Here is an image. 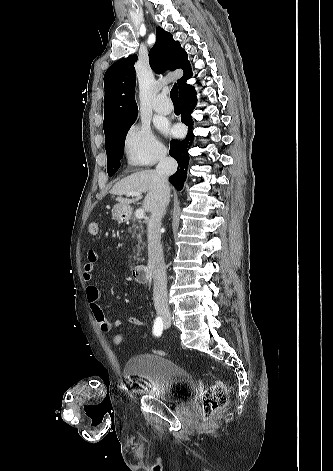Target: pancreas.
I'll return each mask as SVG.
<instances>
[{"instance_id":"obj_1","label":"pancreas","mask_w":333,"mask_h":471,"mask_svg":"<svg viewBox=\"0 0 333 471\" xmlns=\"http://www.w3.org/2000/svg\"><path fill=\"white\" fill-rule=\"evenodd\" d=\"M128 232L131 234V238L138 242L136 248H133V258L139 260V253L144 248V242L142 240V236L144 235V229L142 223L133 219L132 226L128 228Z\"/></svg>"}]
</instances>
